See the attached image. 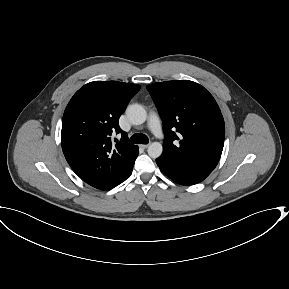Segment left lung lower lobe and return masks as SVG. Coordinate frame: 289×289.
<instances>
[{"mask_svg": "<svg viewBox=\"0 0 289 289\" xmlns=\"http://www.w3.org/2000/svg\"><path fill=\"white\" fill-rule=\"evenodd\" d=\"M157 165L160 170L174 182L181 185H193L203 181L209 174L210 170H204L191 166L172 165L165 160L158 158Z\"/></svg>", "mask_w": 289, "mask_h": 289, "instance_id": "obj_1", "label": "left lung lower lobe"}]
</instances>
